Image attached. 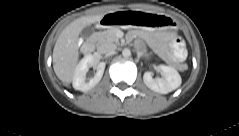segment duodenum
Segmentation results:
<instances>
[{
  "label": "duodenum",
  "mask_w": 239,
  "mask_h": 136,
  "mask_svg": "<svg viewBox=\"0 0 239 136\" xmlns=\"http://www.w3.org/2000/svg\"><path fill=\"white\" fill-rule=\"evenodd\" d=\"M114 20L112 18H104L103 21L101 22L102 25H109L111 23H113ZM94 50V42H86L83 46H82V51L86 54H90L92 53Z\"/></svg>",
  "instance_id": "410a0bca"
}]
</instances>
